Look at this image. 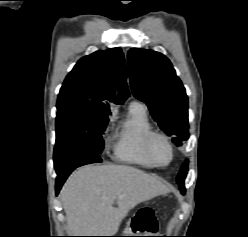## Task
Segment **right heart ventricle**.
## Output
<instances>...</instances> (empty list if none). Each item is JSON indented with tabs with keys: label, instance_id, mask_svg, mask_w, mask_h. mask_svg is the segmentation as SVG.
Here are the masks:
<instances>
[{
	"label": "right heart ventricle",
	"instance_id": "e07e8e85",
	"mask_svg": "<svg viewBox=\"0 0 248 237\" xmlns=\"http://www.w3.org/2000/svg\"><path fill=\"white\" fill-rule=\"evenodd\" d=\"M153 131L146 108L130 105L127 116L114 129L113 158L122 163L154 168L144 151V138Z\"/></svg>",
	"mask_w": 248,
	"mask_h": 237
}]
</instances>
